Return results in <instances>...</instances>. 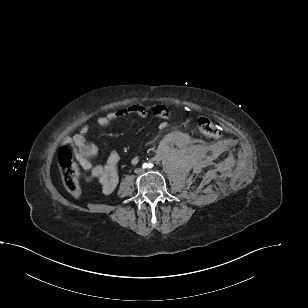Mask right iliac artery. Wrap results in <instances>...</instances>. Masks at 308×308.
Returning <instances> with one entry per match:
<instances>
[{
	"mask_svg": "<svg viewBox=\"0 0 308 308\" xmlns=\"http://www.w3.org/2000/svg\"><path fill=\"white\" fill-rule=\"evenodd\" d=\"M146 167H147V164H144V165H143V168H146Z\"/></svg>",
	"mask_w": 308,
	"mask_h": 308,
	"instance_id": "82829eb1",
	"label": "right iliac artery"
}]
</instances>
